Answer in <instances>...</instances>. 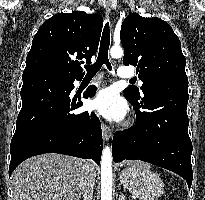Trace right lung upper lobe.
Here are the masks:
<instances>
[{
    "label": "right lung upper lobe",
    "instance_id": "cb5924a9",
    "mask_svg": "<svg viewBox=\"0 0 205 200\" xmlns=\"http://www.w3.org/2000/svg\"><path fill=\"white\" fill-rule=\"evenodd\" d=\"M103 18L99 13L82 11L56 14L45 21L35 34L23 72L56 73L82 78L81 65L98 49Z\"/></svg>",
    "mask_w": 205,
    "mask_h": 200
}]
</instances>
